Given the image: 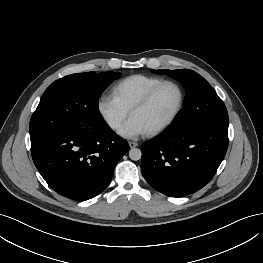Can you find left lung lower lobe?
Returning <instances> with one entry per match:
<instances>
[{
	"mask_svg": "<svg viewBox=\"0 0 263 263\" xmlns=\"http://www.w3.org/2000/svg\"><path fill=\"white\" fill-rule=\"evenodd\" d=\"M228 148V122L183 132L168 127L142 146L141 170L157 191L183 197L204 187L215 175Z\"/></svg>",
	"mask_w": 263,
	"mask_h": 263,
	"instance_id": "obj_1",
	"label": "left lung lower lobe"
}]
</instances>
